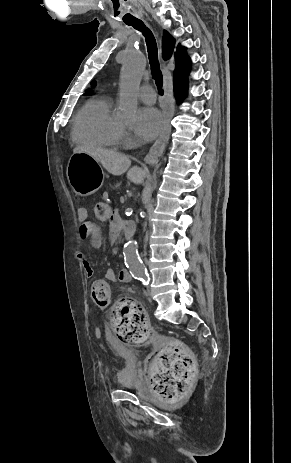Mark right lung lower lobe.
Segmentation results:
<instances>
[{
    "label": "right lung lower lobe",
    "mask_w": 291,
    "mask_h": 463,
    "mask_svg": "<svg viewBox=\"0 0 291 463\" xmlns=\"http://www.w3.org/2000/svg\"><path fill=\"white\" fill-rule=\"evenodd\" d=\"M174 91H175V96L177 98V102H179L186 95L187 81L184 84H180V85L174 84Z\"/></svg>",
    "instance_id": "1"
}]
</instances>
